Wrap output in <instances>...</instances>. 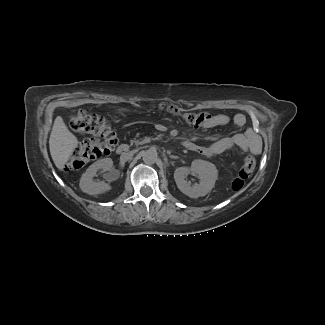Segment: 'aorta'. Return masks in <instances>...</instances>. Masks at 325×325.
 I'll return each instance as SVG.
<instances>
[{
    "label": "aorta",
    "instance_id": "obj_1",
    "mask_svg": "<svg viewBox=\"0 0 325 325\" xmlns=\"http://www.w3.org/2000/svg\"><path fill=\"white\" fill-rule=\"evenodd\" d=\"M142 159L146 164H154L158 159L157 151L148 149L142 152Z\"/></svg>",
    "mask_w": 325,
    "mask_h": 325
}]
</instances>
